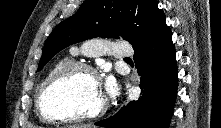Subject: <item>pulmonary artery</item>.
<instances>
[{
	"instance_id": "1",
	"label": "pulmonary artery",
	"mask_w": 221,
	"mask_h": 128,
	"mask_svg": "<svg viewBox=\"0 0 221 128\" xmlns=\"http://www.w3.org/2000/svg\"><path fill=\"white\" fill-rule=\"evenodd\" d=\"M82 51L85 54L96 55L104 51H110L114 57L123 60H129L132 56V51L129 50L125 43L121 41L104 42L96 39H88L82 43ZM76 53V50H74Z\"/></svg>"
}]
</instances>
